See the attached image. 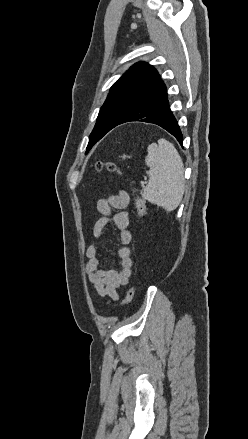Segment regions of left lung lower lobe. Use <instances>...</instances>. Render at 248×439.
<instances>
[{"instance_id": "obj_1", "label": "left lung lower lobe", "mask_w": 248, "mask_h": 439, "mask_svg": "<svg viewBox=\"0 0 248 439\" xmlns=\"http://www.w3.org/2000/svg\"><path fill=\"white\" fill-rule=\"evenodd\" d=\"M130 121L159 125L183 144L180 127L170 110L166 86L161 79L117 125Z\"/></svg>"}]
</instances>
